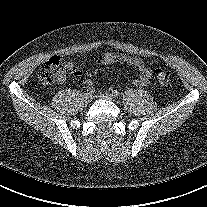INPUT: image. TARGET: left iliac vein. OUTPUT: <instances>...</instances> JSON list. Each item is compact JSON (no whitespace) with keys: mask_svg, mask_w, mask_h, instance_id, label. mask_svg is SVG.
<instances>
[{"mask_svg":"<svg viewBox=\"0 0 207 207\" xmlns=\"http://www.w3.org/2000/svg\"><path fill=\"white\" fill-rule=\"evenodd\" d=\"M99 97L110 101H116V96L111 93L100 94Z\"/></svg>","mask_w":207,"mask_h":207,"instance_id":"obj_1","label":"left iliac vein"}]
</instances>
